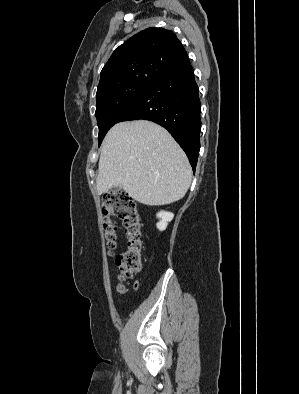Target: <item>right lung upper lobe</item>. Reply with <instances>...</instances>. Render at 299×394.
Masks as SVG:
<instances>
[{"label":"right lung upper lobe","mask_w":299,"mask_h":394,"mask_svg":"<svg viewBox=\"0 0 299 394\" xmlns=\"http://www.w3.org/2000/svg\"><path fill=\"white\" fill-rule=\"evenodd\" d=\"M187 58L172 31L145 29L115 49L101 71L96 95L125 83H152Z\"/></svg>","instance_id":"obj_1"}]
</instances>
